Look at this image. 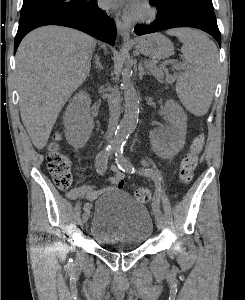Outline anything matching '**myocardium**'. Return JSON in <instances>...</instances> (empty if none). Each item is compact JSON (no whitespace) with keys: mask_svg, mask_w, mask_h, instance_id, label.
Returning <instances> with one entry per match:
<instances>
[{"mask_svg":"<svg viewBox=\"0 0 245 300\" xmlns=\"http://www.w3.org/2000/svg\"><path fill=\"white\" fill-rule=\"evenodd\" d=\"M141 8H142L141 13L131 16L133 21L148 22L155 17V9L151 6V4L147 0L142 1Z\"/></svg>","mask_w":245,"mask_h":300,"instance_id":"f54148a6","label":"myocardium"}]
</instances>
